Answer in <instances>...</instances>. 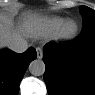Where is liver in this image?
Returning <instances> with one entry per match:
<instances>
[{"mask_svg":"<svg viewBox=\"0 0 95 95\" xmlns=\"http://www.w3.org/2000/svg\"><path fill=\"white\" fill-rule=\"evenodd\" d=\"M34 14L28 12L27 17H33ZM25 38V32L20 26H15L11 15L2 13L0 17V47H8L14 41Z\"/></svg>","mask_w":95,"mask_h":95,"instance_id":"1","label":"liver"}]
</instances>
